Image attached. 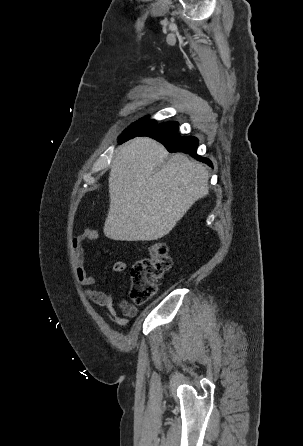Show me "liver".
Segmentation results:
<instances>
[{"mask_svg":"<svg viewBox=\"0 0 303 446\" xmlns=\"http://www.w3.org/2000/svg\"><path fill=\"white\" fill-rule=\"evenodd\" d=\"M167 156L165 147L148 137H137L119 148L109 175L106 237L158 240L208 193L206 167L183 154L164 163Z\"/></svg>","mask_w":303,"mask_h":446,"instance_id":"obj_1","label":"liver"}]
</instances>
